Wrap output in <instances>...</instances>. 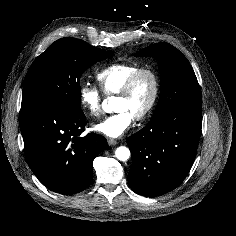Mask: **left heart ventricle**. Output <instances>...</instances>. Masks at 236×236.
<instances>
[{
    "label": "left heart ventricle",
    "instance_id": "left-heart-ventricle-1",
    "mask_svg": "<svg viewBox=\"0 0 236 236\" xmlns=\"http://www.w3.org/2000/svg\"><path fill=\"white\" fill-rule=\"evenodd\" d=\"M153 92V83L148 75L140 77L132 92L127 97H117L115 109L126 110L134 117L148 105Z\"/></svg>",
    "mask_w": 236,
    "mask_h": 236
}]
</instances>
